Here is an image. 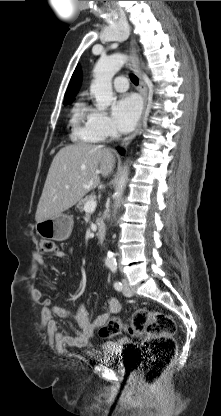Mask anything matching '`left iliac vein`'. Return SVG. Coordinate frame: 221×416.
Segmentation results:
<instances>
[{
    "instance_id": "4c4485c4",
    "label": "left iliac vein",
    "mask_w": 221,
    "mask_h": 416,
    "mask_svg": "<svg viewBox=\"0 0 221 416\" xmlns=\"http://www.w3.org/2000/svg\"><path fill=\"white\" fill-rule=\"evenodd\" d=\"M123 294L127 297H131L133 295V291L129 286V282L127 279H123Z\"/></svg>"
}]
</instances>
